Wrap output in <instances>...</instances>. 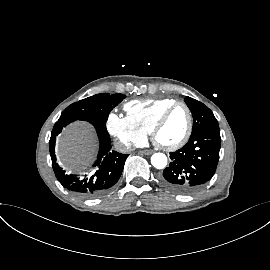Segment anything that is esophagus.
I'll list each match as a JSON object with an SVG mask.
<instances>
[{
  "mask_svg": "<svg viewBox=\"0 0 270 270\" xmlns=\"http://www.w3.org/2000/svg\"><path fill=\"white\" fill-rule=\"evenodd\" d=\"M143 154H145V155H151L152 153H153V151L152 150H143V151H141Z\"/></svg>",
  "mask_w": 270,
  "mask_h": 270,
  "instance_id": "1",
  "label": "esophagus"
}]
</instances>
